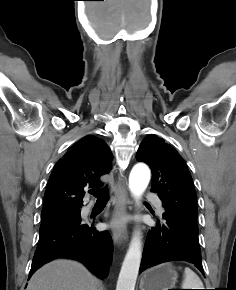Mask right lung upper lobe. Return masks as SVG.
<instances>
[{
    "mask_svg": "<svg viewBox=\"0 0 236 290\" xmlns=\"http://www.w3.org/2000/svg\"><path fill=\"white\" fill-rule=\"evenodd\" d=\"M112 154L104 140L87 135L56 163L45 192L42 214L80 210L84 189L102 186L100 177L110 172Z\"/></svg>",
    "mask_w": 236,
    "mask_h": 290,
    "instance_id": "cb5924a9",
    "label": "right lung upper lobe"
}]
</instances>
